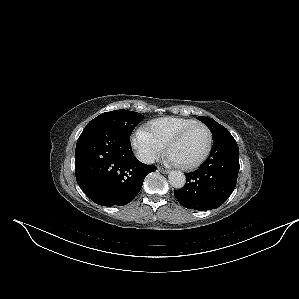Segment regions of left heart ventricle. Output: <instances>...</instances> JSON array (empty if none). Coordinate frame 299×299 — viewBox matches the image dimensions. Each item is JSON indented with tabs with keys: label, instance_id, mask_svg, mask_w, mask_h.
I'll list each match as a JSON object with an SVG mask.
<instances>
[{
	"label": "left heart ventricle",
	"instance_id": "1",
	"mask_svg": "<svg viewBox=\"0 0 299 299\" xmlns=\"http://www.w3.org/2000/svg\"><path fill=\"white\" fill-rule=\"evenodd\" d=\"M207 143V131L203 127H195L171 148L170 154L178 163L190 164L202 156L206 150Z\"/></svg>",
	"mask_w": 299,
	"mask_h": 299
}]
</instances>
